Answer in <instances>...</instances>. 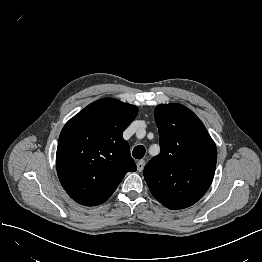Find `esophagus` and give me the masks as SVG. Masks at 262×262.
I'll list each match as a JSON object with an SVG mask.
<instances>
[{
	"label": "esophagus",
	"mask_w": 262,
	"mask_h": 262,
	"mask_svg": "<svg viewBox=\"0 0 262 262\" xmlns=\"http://www.w3.org/2000/svg\"><path fill=\"white\" fill-rule=\"evenodd\" d=\"M144 166H145V161L144 160H139L137 162V170H138V172L143 171Z\"/></svg>",
	"instance_id": "obj_1"
}]
</instances>
